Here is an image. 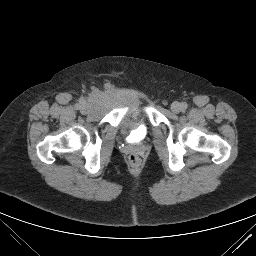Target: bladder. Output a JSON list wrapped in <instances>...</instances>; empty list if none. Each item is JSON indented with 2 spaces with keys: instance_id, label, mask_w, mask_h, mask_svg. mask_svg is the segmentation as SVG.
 Listing matches in <instances>:
<instances>
[{
  "instance_id": "31cf9c89",
  "label": "bladder",
  "mask_w": 256,
  "mask_h": 256,
  "mask_svg": "<svg viewBox=\"0 0 256 256\" xmlns=\"http://www.w3.org/2000/svg\"><path fill=\"white\" fill-rule=\"evenodd\" d=\"M102 99L107 103L117 104L126 109L119 123L121 129L126 130L128 134L135 132L136 141H140L146 136L147 129L137 123L135 118L139 105L136 98L127 95L103 94Z\"/></svg>"
}]
</instances>
